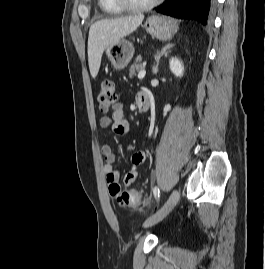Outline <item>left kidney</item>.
<instances>
[{
    "instance_id": "obj_1",
    "label": "left kidney",
    "mask_w": 265,
    "mask_h": 269,
    "mask_svg": "<svg viewBox=\"0 0 265 269\" xmlns=\"http://www.w3.org/2000/svg\"><path fill=\"white\" fill-rule=\"evenodd\" d=\"M171 72L178 77H182L184 74L183 63L176 57H173L169 61Z\"/></svg>"
}]
</instances>
